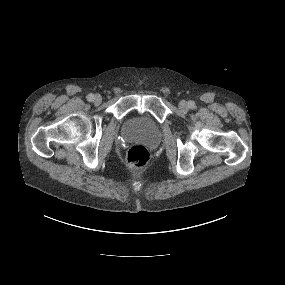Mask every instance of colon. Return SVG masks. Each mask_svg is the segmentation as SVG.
<instances>
[{
  "label": "colon",
  "mask_w": 285,
  "mask_h": 285,
  "mask_svg": "<svg viewBox=\"0 0 285 285\" xmlns=\"http://www.w3.org/2000/svg\"><path fill=\"white\" fill-rule=\"evenodd\" d=\"M150 158L149 150L140 144L130 147L126 154V164L132 169H138L147 164Z\"/></svg>",
  "instance_id": "1"
}]
</instances>
